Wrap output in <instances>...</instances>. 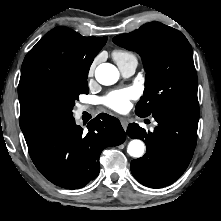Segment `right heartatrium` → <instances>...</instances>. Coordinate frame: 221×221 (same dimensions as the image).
<instances>
[{
	"label": "right heart atrium",
	"instance_id": "d8ad5b80",
	"mask_svg": "<svg viewBox=\"0 0 221 221\" xmlns=\"http://www.w3.org/2000/svg\"><path fill=\"white\" fill-rule=\"evenodd\" d=\"M94 67H95V65L94 64H92L91 66H90V68H89V75H92L93 74V71H94Z\"/></svg>",
	"mask_w": 221,
	"mask_h": 221
}]
</instances>
